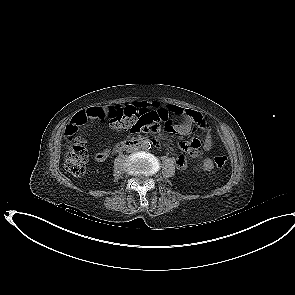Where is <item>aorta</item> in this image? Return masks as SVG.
Listing matches in <instances>:
<instances>
[{
	"label": "aorta",
	"instance_id": "obj_1",
	"mask_svg": "<svg viewBox=\"0 0 295 295\" xmlns=\"http://www.w3.org/2000/svg\"><path fill=\"white\" fill-rule=\"evenodd\" d=\"M139 147L143 150H149L151 148V142L149 139L143 140L140 142Z\"/></svg>",
	"mask_w": 295,
	"mask_h": 295
}]
</instances>
